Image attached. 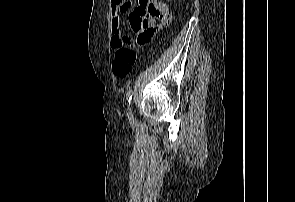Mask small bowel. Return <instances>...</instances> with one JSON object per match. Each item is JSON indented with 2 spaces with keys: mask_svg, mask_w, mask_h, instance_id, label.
Listing matches in <instances>:
<instances>
[{
  "mask_svg": "<svg viewBox=\"0 0 295 202\" xmlns=\"http://www.w3.org/2000/svg\"><path fill=\"white\" fill-rule=\"evenodd\" d=\"M128 0H111L112 23H111V44L117 49L123 44L121 39V17L130 10ZM171 15L167 3L159 0H138L137 5L129 11L128 21L132 30L137 33L138 42L148 41L156 30V22L161 25L168 23Z\"/></svg>",
  "mask_w": 295,
  "mask_h": 202,
  "instance_id": "c3829d8e",
  "label": "small bowel"
}]
</instances>
